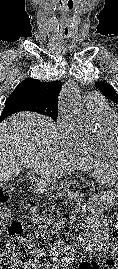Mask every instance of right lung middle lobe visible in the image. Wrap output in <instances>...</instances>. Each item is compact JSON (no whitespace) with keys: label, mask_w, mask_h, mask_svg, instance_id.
Instances as JSON below:
<instances>
[{"label":"right lung middle lobe","mask_w":118,"mask_h":269,"mask_svg":"<svg viewBox=\"0 0 118 269\" xmlns=\"http://www.w3.org/2000/svg\"><path fill=\"white\" fill-rule=\"evenodd\" d=\"M20 111L37 112L56 121L58 115V106L42 105L27 96L10 95L6 99L5 108L1 113L0 119L3 120L4 118Z\"/></svg>","instance_id":"obj_1"}]
</instances>
